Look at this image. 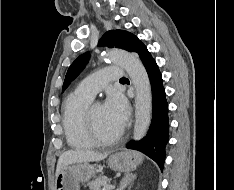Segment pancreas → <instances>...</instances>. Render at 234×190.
Masks as SVG:
<instances>
[{
	"instance_id": "cf45deb5",
	"label": "pancreas",
	"mask_w": 234,
	"mask_h": 190,
	"mask_svg": "<svg viewBox=\"0 0 234 190\" xmlns=\"http://www.w3.org/2000/svg\"><path fill=\"white\" fill-rule=\"evenodd\" d=\"M108 179L105 177H98L97 179L91 181L87 184L90 190H101V186H107Z\"/></svg>"
}]
</instances>
